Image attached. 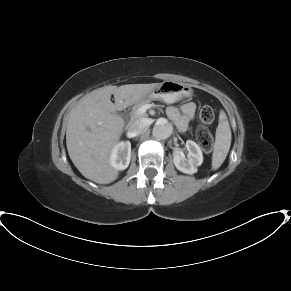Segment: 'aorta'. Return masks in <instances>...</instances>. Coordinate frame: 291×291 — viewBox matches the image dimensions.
Here are the masks:
<instances>
[{
    "label": "aorta",
    "instance_id": "762f6f07",
    "mask_svg": "<svg viewBox=\"0 0 291 291\" xmlns=\"http://www.w3.org/2000/svg\"><path fill=\"white\" fill-rule=\"evenodd\" d=\"M173 132V126L167 121H158L152 130V135L158 139L163 140L171 136Z\"/></svg>",
    "mask_w": 291,
    "mask_h": 291
}]
</instances>
